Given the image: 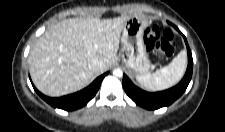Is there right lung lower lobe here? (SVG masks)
Segmentation results:
<instances>
[{
    "label": "right lung lower lobe",
    "instance_id": "obj_1",
    "mask_svg": "<svg viewBox=\"0 0 225 132\" xmlns=\"http://www.w3.org/2000/svg\"><path fill=\"white\" fill-rule=\"evenodd\" d=\"M107 74L108 72L99 76L97 79H95L92 82V84H90L85 89L77 93L59 97V98L47 97L43 95L42 93H40L35 87L34 89L42 99H44L48 104H50L51 106L55 108H60V109L69 110V111L76 110L86 105L95 96L103 78Z\"/></svg>",
    "mask_w": 225,
    "mask_h": 132
}]
</instances>
